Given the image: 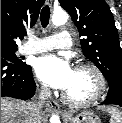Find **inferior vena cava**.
<instances>
[{"mask_svg": "<svg viewBox=\"0 0 122 123\" xmlns=\"http://www.w3.org/2000/svg\"><path fill=\"white\" fill-rule=\"evenodd\" d=\"M50 96H51V90L49 86H41V89L38 95V100L35 103H33V110L37 116H40L42 114L41 108L45 100L49 98Z\"/></svg>", "mask_w": 122, "mask_h": 123, "instance_id": "602c4592", "label": "inferior vena cava"}]
</instances>
